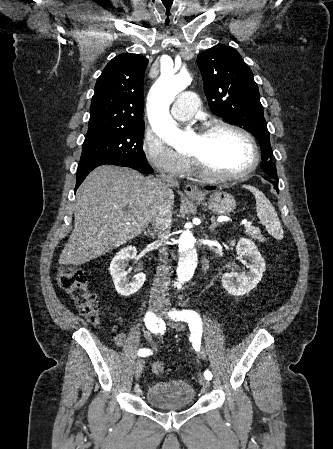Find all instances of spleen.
<instances>
[{
    "label": "spleen",
    "instance_id": "1",
    "mask_svg": "<svg viewBox=\"0 0 333 449\" xmlns=\"http://www.w3.org/2000/svg\"><path fill=\"white\" fill-rule=\"evenodd\" d=\"M256 199V211L258 218L265 225L268 233L276 239L283 238V229L278 215L268 198L256 187L247 186Z\"/></svg>",
    "mask_w": 333,
    "mask_h": 449
}]
</instances>
